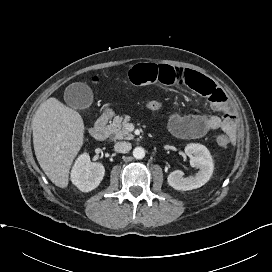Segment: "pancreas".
Here are the masks:
<instances>
[{
  "mask_svg": "<svg viewBox=\"0 0 272 272\" xmlns=\"http://www.w3.org/2000/svg\"><path fill=\"white\" fill-rule=\"evenodd\" d=\"M130 121V116L124 115L115 116L113 122L107 126V130L110 136L116 140H130L133 138V135L126 129L127 123Z\"/></svg>",
  "mask_w": 272,
  "mask_h": 272,
  "instance_id": "obj_1",
  "label": "pancreas"
}]
</instances>
